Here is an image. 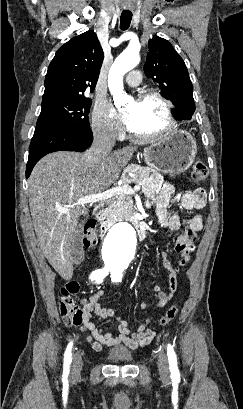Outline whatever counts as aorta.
Segmentation results:
<instances>
[{
  "label": "aorta",
  "instance_id": "obj_1",
  "mask_svg": "<svg viewBox=\"0 0 243 409\" xmlns=\"http://www.w3.org/2000/svg\"><path fill=\"white\" fill-rule=\"evenodd\" d=\"M140 61L137 52L126 50L112 64L108 75V87L117 106L126 104L129 96L123 90V76ZM136 242V232L131 223L122 222L114 225L104 237L102 251L109 264L125 258L132 251Z\"/></svg>",
  "mask_w": 243,
  "mask_h": 409
}]
</instances>
